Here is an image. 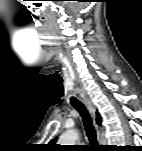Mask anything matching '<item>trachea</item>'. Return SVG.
Returning a JSON list of instances; mask_svg holds the SVG:
<instances>
[{
    "label": "trachea",
    "mask_w": 142,
    "mask_h": 151,
    "mask_svg": "<svg viewBox=\"0 0 142 151\" xmlns=\"http://www.w3.org/2000/svg\"><path fill=\"white\" fill-rule=\"evenodd\" d=\"M71 105L79 112L83 119L86 134L91 144H97L96 131L91 116L85 105L75 97L70 98Z\"/></svg>",
    "instance_id": "obj_1"
}]
</instances>
